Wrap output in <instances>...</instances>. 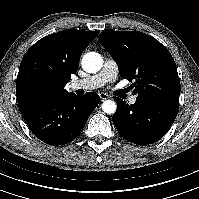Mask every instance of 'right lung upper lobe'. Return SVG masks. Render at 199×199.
Listing matches in <instances>:
<instances>
[{
    "label": "right lung upper lobe",
    "instance_id": "obj_1",
    "mask_svg": "<svg viewBox=\"0 0 199 199\" xmlns=\"http://www.w3.org/2000/svg\"><path fill=\"white\" fill-rule=\"evenodd\" d=\"M99 31L64 30L37 41L24 55L16 81L21 113L72 92L65 85L75 74L84 49Z\"/></svg>",
    "mask_w": 199,
    "mask_h": 199
}]
</instances>
